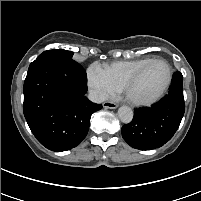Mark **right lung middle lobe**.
Wrapping results in <instances>:
<instances>
[{
	"mask_svg": "<svg viewBox=\"0 0 201 201\" xmlns=\"http://www.w3.org/2000/svg\"><path fill=\"white\" fill-rule=\"evenodd\" d=\"M73 52L63 50V49H54V50H48L43 52L39 55L38 58H44V57H53V58H59L62 60H72Z\"/></svg>",
	"mask_w": 201,
	"mask_h": 201,
	"instance_id": "dd1d6c3e",
	"label": "right lung middle lobe"
}]
</instances>
